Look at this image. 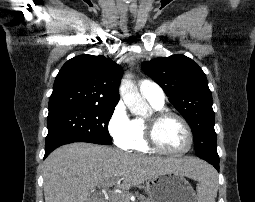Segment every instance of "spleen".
Segmentation results:
<instances>
[{"label": "spleen", "instance_id": "spleen-1", "mask_svg": "<svg viewBox=\"0 0 255 202\" xmlns=\"http://www.w3.org/2000/svg\"><path fill=\"white\" fill-rule=\"evenodd\" d=\"M216 171L207 164L197 166L196 186L198 202H215L218 191V178Z\"/></svg>", "mask_w": 255, "mask_h": 202}]
</instances>
